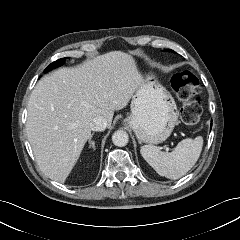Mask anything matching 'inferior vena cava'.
<instances>
[{
  "label": "inferior vena cava",
  "instance_id": "obj_1",
  "mask_svg": "<svg viewBox=\"0 0 240 240\" xmlns=\"http://www.w3.org/2000/svg\"><path fill=\"white\" fill-rule=\"evenodd\" d=\"M107 127V121L103 116H97L90 122V129L92 131H103Z\"/></svg>",
  "mask_w": 240,
  "mask_h": 240
}]
</instances>
